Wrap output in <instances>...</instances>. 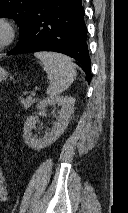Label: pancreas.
Instances as JSON below:
<instances>
[{
    "label": "pancreas",
    "mask_w": 128,
    "mask_h": 213,
    "mask_svg": "<svg viewBox=\"0 0 128 213\" xmlns=\"http://www.w3.org/2000/svg\"><path fill=\"white\" fill-rule=\"evenodd\" d=\"M36 101L37 100L33 99L31 96H29L26 99L20 98V102L25 109H29L31 107V105H33Z\"/></svg>",
    "instance_id": "1"
}]
</instances>
